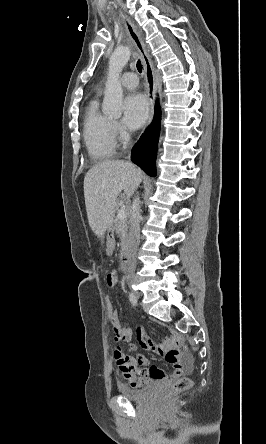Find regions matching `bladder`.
<instances>
[{
  "instance_id": "obj_1",
  "label": "bladder",
  "mask_w": 266,
  "mask_h": 444,
  "mask_svg": "<svg viewBox=\"0 0 266 444\" xmlns=\"http://www.w3.org/2000/svg\"><path fill=\"white\" fill-rule=\"evenodd\" d=\"M157 385H158V382L154 381V382L149 383L148 385H146L145 387H143L141 389H130V388L121 386V387H119V391H120L121 395L128 400L143 401L153 393V391Z\"/></svg>"
}]
</instances>
